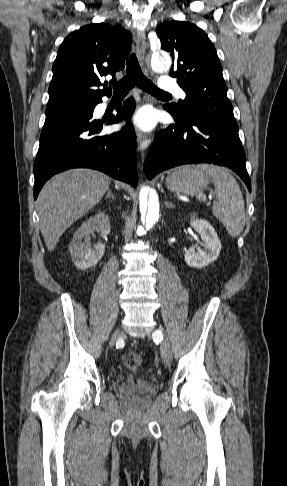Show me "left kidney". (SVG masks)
Listing matches in <instances>:
<instances>
[{"label": "left kidney", "mask_w": 287, "mask_h": 486, "mask_svg": "<svg viewBox=\"0 0 287 486\" xmlns=\"http://www.w3.org/2000/svg\"><path fill=\"white\" fill-rule=\"evenodd\" d=\"M190 225L197 231L204 241V249L185 251V262L194 268H202L214 262L220 253L221 242L211 224L205 219H199L197 214L190 215Z\"/></svg>", "instance_id": "5707ae66"}]
</instances>
